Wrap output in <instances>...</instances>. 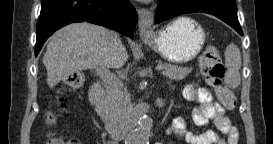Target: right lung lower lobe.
Segmentation results:
<instances>
[{
	"label": "right lung lower lobe",
	"mask_w": 273,
	"mask_h": 144,
	"mask_svg": "<svg viewBox=\"0 0 273 144\" xmlns=\"http://www.w3.org/2000/svg\"><path fill=\"white\" fill-rule=\"evenodd\" d=\"M137 13L129 0H42L36 27L35 56L59 28L89 22L116 30L133 39Z\"/></svg>",
	"instance_id": "1"
}]
</instances>
